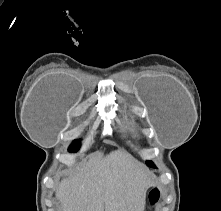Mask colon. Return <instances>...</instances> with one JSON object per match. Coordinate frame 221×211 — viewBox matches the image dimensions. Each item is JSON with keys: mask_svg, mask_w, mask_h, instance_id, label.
Returning <instances> with one entry per match:
<instances>
[{"mask_svg": "<svg viewBox=\"0 0 221 211\" xmlns=\"http://www.w3.org/2000/svg\"><path fill=\"white\" fill-rule=\"evenodd\" d=\"M161 196V192L158 188H154L149 194V201L151 205H155Z\"/></svg>", "mask_w": 221, "mask_h": 211, "instance_id": "obj_1", "label": "colon"}]
</instances>
